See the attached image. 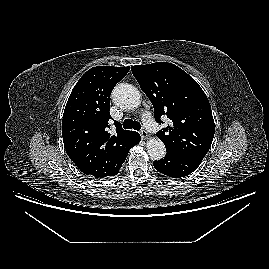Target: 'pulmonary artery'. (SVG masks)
<instances>
[{
  "instance_id": "pulmonary-artery-1",
  "label": "pulmonary artery",
  "mask_w": 269,
  "mask_h": 269,
  "mask_svg": "<svg viewBox=\"0 0 269 269\" xmlns=\"http://www.w3.org/2000/svg\"><path fill=\"white\" fill-rule=\"evenodd\" d=\"M144 127L149 132H155L158 129L157 125L151 118H147L144 120Z\"/></svg>"
}]
</instances>
